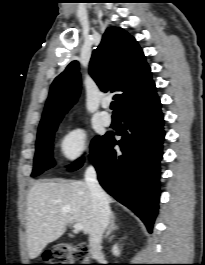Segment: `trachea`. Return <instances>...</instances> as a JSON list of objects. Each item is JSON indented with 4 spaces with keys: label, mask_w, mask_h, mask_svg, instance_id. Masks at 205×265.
I'll use <instances>...</instances> for the list:
<instances>
[{
    "label": "trachea",
    "mask_w": 205,
    "mask_h": 265,
    "mask_svg": "<svg viewBox=\"0 0 205 265\" xmlns=\"http://www.w3.org/2000/svg\"><path fill=\"white\" fill-rule=\"evenodd\" d=\"M110 108L113 110L114 113L117 112V110H116L117 107H116V103H115V102H112V103H111Z\"/></svg>",
    "instance_id": "1"
}]
</instances>
